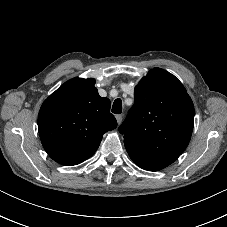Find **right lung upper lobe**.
<instances>
[{
  "label": "right lung upper lobe",
  "mask_w": 227,
  "mask_h": 227,
  "mask_svg": "<svg viewBox=\"0 0 227 227\" xmlns=\"http://www.w3.org/2000/svg\"><path fill=\"white\" fill-rule=\"evenodd\" d=\"M92 78H74L42 104L38 130L48 155L65 166L77 165L98 149L102 136L117 127L110 100L99 96Z\"/></svg>",
  "instance_id": "right-lung-upper-lobe-1"
}]
</instances>
